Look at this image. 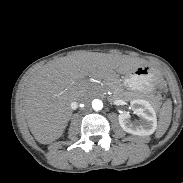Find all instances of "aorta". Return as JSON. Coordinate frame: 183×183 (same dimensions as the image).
Returning <instances> with one entry per match:
<instances>
[{
  "mask_svg": "<svg viewBox=\"0 0 183 183\" xmlns=\"http://www.w3.org/2000/svg\"><path fill=\"white\" fill-rule=\"evenodd\" d=\"M92 108L94 110H101L103 108V102L100 99H94L92 101Z\"/></svg>",
  "mask_w": 183,
  "mask_h": 183,
  "instance_id": "aorta-1",
  "label": "aorta"
}]
</instances>
